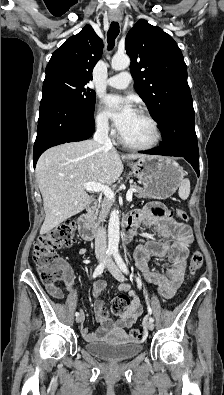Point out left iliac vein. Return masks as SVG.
Returning <instances> with one entry per match:
<instances>
[{
    "label": "left iliac vein",
    "instance_id": "4c4485c4",
    "mask_svg": "<svg viewBox=\"0 0 224 395\" xmlns=\"http://www.w3.org/2000/svg\"><path fill=\"white\" fill-rule=\"evenodd\" d=\"M106 267L118 281H121V282L124 281V276H123L122 272L120 271L119 267L115 264V262L111 258L108 260ZM145 327L149 330H153L154 323L151 320H148L145 322Z\"/></svg>",
    "mask_w": 224,
    "mask_h": 395
}]
</instances>
